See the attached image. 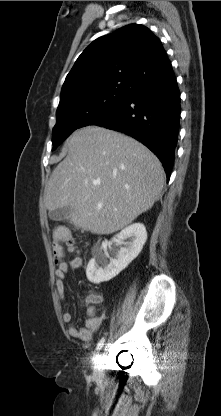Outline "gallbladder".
Segmentation results:
<instances>
[{"mask_svg": "<svg viewBox=\"0 0 221 416\" xmlns=\"http://www.w3.org/2000/svg\"><path fill=\"white\" fill-rule=\"evenodd\" d=\"M71 211L72 209L70 207H63L49 211L48 215L53 221H62L70 215Z\"/></svg>", "mask_w": 221, "mask_h": 416, "instance_id": "bac80fb5", "label": "gallbladder"}]
</instances>
